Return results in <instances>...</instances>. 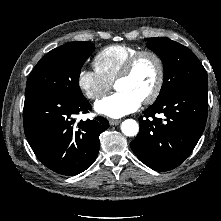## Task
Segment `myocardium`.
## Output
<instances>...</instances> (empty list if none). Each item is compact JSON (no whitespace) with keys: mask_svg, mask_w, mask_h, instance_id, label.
I'll use <instances>...</instances> for the list:
<instances>
[{"mask_svg":"<svg viewBox=\"0 0 221 221\" xmlns=\"http://www.w3.org/2000/svg\"><path fill=\"white\" fill-rule=\"evenodd\" d=\"M151 57L157 66V80H156V84L153 88V90L151 91V93L145 97L142 102L144 104H152L154 103L158 97L160 96L163 86H164V81H165V66H164V62L161 58V56L152 51V50H140L137 53L133 54L125 63V65L123 66L122 70L120 71V73L118 74L115 83H117L118 81L122 80V79H126L128 77H130L138 62L143 58V57Z\"/></svg>","mask_w":221,"mask_h":221,"instance_id":"myocardium-1","label":"myocardium"}]
</instances>
